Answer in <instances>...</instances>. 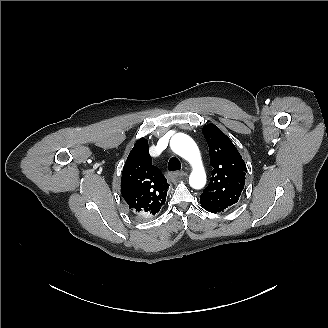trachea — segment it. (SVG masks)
Masks as SVG:
<instances>
[{"label": "trachea", "mask_w": 328, "mask_h": 328, "mask_svg": "<svg viewBox=\"0 0 328 328\" xmlns=\"http://www.w3.org/2000/svg\"><path fill=\"white\" fill-rule=\"evenodd\" d=\"M181 169V162L178 158L172 157L168 162V170L169 171H177Z\"/></svg>", "instance_id": "trachea-1"}]
</instances>
